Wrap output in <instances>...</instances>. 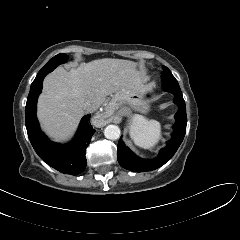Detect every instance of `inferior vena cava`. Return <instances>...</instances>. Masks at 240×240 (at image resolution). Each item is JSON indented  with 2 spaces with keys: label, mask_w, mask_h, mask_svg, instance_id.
Wrapping results in <instances>:
<instances>
[{
  "label": "inferior vena cava",
  "mask_w": 240,
  "mask_h": 240,
  "mask_svg": "<svg viewBox=\"0 0 240 240\" xmlns=\"http://www.w3.org/2000/svg\"><path fill=\"white\" fill-rule=\"evenodd\" d=\"M83 107L87 112H92L95 109V106L90 101L85 102Z\"/></svg>",
  "instance_id": "602c4592"
}]
</instances>
